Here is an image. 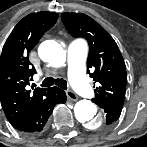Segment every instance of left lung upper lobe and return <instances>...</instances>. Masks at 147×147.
<instances>
[{
	"label": "left lung upper lobe",
	"mask_w": 147,
	"mask_h": 147,
	"mask_svg": "<svg viewBox=\"0 0 147 147\" xmlns=\"http://www.w3.org/2000/svg\"><path fill=\"white\" fill-rule=\"evenodd\" d=\"M61 18L73 37H83L89 43L87 73L98 83L92 101L99 105L117 99L124 100L126 66L114 39L85 14L63 13Z\"/></svg>",
	"instance_id": "5c2ea615"
}]
</instances>
